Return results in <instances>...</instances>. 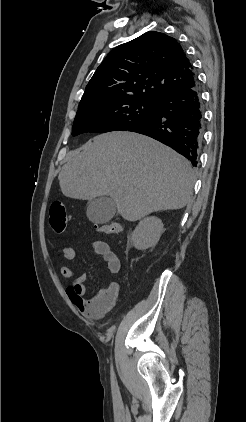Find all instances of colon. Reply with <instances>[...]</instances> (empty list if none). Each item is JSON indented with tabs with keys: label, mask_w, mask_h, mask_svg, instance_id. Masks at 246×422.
<instances>
[{
	"label": "colon",
	"mask_w": 246,
	"mask_h": 422,
	"mask_svg": "<svg viewBox=\"0 0 246 422\" xmlns=\"http://www.w3.org/2000/svg\"><path fill=\"white\" fill-rule=\"evenodd\" d=\"M50 225L57 233H62L67 227L68 216L65 205L60 200H55L50 205ZM97 231L105 234H119L122 228L118 224H109L96 228Z\"/></svg>",
	"instance_id": "5ec220e1"
}]
</instances>
